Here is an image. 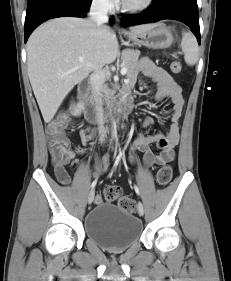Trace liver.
Listing matches in <instances>:
<instances>
[{
    "label": "liver",
    "instance_id": "obj_1",
    "mask_svg": "<svg viewBox=\"0 0 231 281\" xmlns=\"http://www.w3.org/2000/svg\"><path fill=\"white\" fill-rule=\"evenodd\" d=\"M153 26L139 25L130 30L137 33ZM118 54L115 33L90 19L61 17L40 25L27 42V65L44 121L53 119L67 94L93 68L100 70L114 62Z\"/></svg>",
    "mask_w": 231,
    "mask_h": 281
}]
</instances>
